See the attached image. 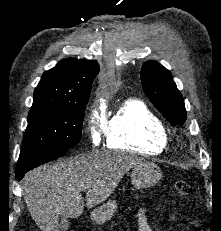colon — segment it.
<instances>
[{
  "mask_svg": "<svg viewBox=\"0 0 221 231\" xmlns=\"http://www.w3.org/2000/svg\"><path fill=\"white\" fill-rule=\"evenodd\" d=\"M175 190L179 196L186 197L190 195L192 188L189 183L185 181H178L175 184Z\"/></svg>",
  "mask_w": 221,
  "mask_h": 231,
  "instance_id": "obj_1",
  "label": "colon"
}]
</instances>
